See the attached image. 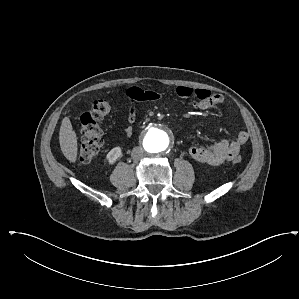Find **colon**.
<instances>
[{
	"instance_id": "obj_1",
	"label": "colon",
	"mask_w": 299,
	"mask_h": 299,
	"mask_svg": "<svg viewBox=\"0 0 299 299\" xmlns=\"http://www.w3.org/2000/svg\"><path fill=\"white\" fill-rule=\"evenodd\" d=\"M112 111V106L106 99H96L92 102L90 109L82 114L80 127L82 132V143L78 151L80 164L91 162L101 151L103 146V131L98 122ZM234 164H240L242 157L235 155L232 158Z\"/></svg>"
}]
</instances>
